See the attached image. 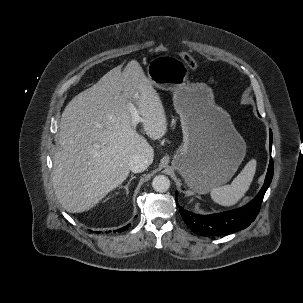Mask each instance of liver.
I'll return each mask as SVG.
<instances>
[{
	"label": "liver",
	"instance_id": "obj_1",
	"mask_svg": "<svg viewBox=\"0 0 303 303\" xmlns=\"http://www.w3.org/2000/svg\"><path fill=\"white\" fill-rule=\"evenodd\" d=\"M129 103L135 104L147 136L158 140L166 134L162 101L136 60L123 70L120 65L107 72L64 109L57 137L61 151L53 157V187L66 211H87L122 184L134 155L152 163L154 150L137 133Z\"/></svg>",
	"mask_w": 303,
	"mask_h": 303
}]
</instances>
